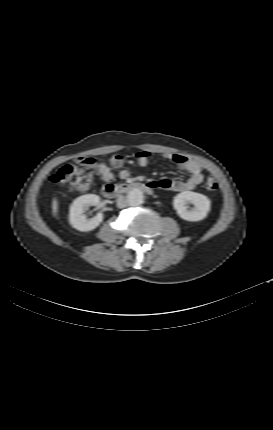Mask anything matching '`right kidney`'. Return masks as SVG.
<instances>
[{
	"label": "right kidney",
	"mask_w": 273,
	"mask_h": 430,
	"mask_svg": "<svg viewBox=\"0 0 273 430\" xmlns=\"http://www.w3.org/2000/svg\"><path fill=\"white\" fill-rule=\"evenodd\" d=\"M100 197L95 194H87L78 197L70 206L69 221L73 228L88 232L96 227L103 220V214L101 212L97 213L93 218L87 219L84 214L89 206H99Z\"/></svg>",
	"instance_id": "obj_1"
}]
</instances>
